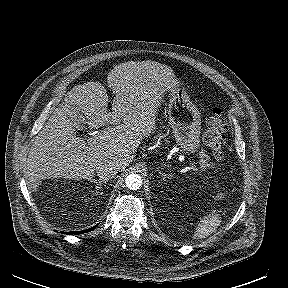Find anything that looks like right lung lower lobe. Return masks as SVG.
Returning <instances> with one entry per match:
<instances>
[{"label":"right lung lower lobe","instance_id":"98d812e1","mask_svg":"<svg viewBox=\"0 0 288 288\" xmlns=\"http://www.w3.org/2000/svg\"><path fill=\"white\" fill-rule=\"evenodd\" d=\"M95 227H96V226H94V227H92V228H90V229H86V230L79 231V232H73V233H76V234H82V233L90 232V231L94 230Z\"/></svg>","mask_w":288,"mask_h":288}]
</instances>
